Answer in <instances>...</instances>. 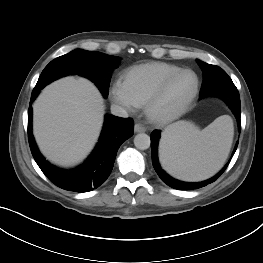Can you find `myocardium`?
Instances as JSON below:
<instances>
[{
	"instance_id": "1",
	"label": "myocardium",
	"mask_w": 263,
	"mask_h": 263,
	"mask_svg": "<svg viewBox=\"0 0 263 263\" xmlns=\"http://www.w3.org/2000/svg\"><path fill=\"white\" fill-rule=\"evenodd\" d=\"M190 72L195 76V87L190 96L176 109L159 113L157 105L171 82L183 73ZM200 90V78L198 73L191 68H181L178 71L168 75L153 91L145 103V113L147 117L156 124H167L181 117L193 104Z\"/></svg>"
}]
</instances>
